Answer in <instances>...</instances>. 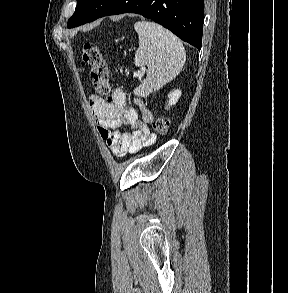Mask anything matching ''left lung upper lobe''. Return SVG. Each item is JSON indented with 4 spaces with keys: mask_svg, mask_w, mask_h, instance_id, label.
I'll list each match as a JSON object with an SVG mask.
<instances>
[{
    "mask_svg": "<svg viewBox=\"0 0 288 293\" xmlns=\"http://www.w3.org/2000/svg\"><path fill=\"white\" fill-rule=\"evenodd\" d=\"M116 0H77L74 14L67 27L73 28L99 18Z\"/></svg>",
    "mask_w": 288,
    "mask_h": 293,
    "instance_id": "left-lung-upper-lobe-1",
    "label": "left lung upper lobe"
}]
</instances>
